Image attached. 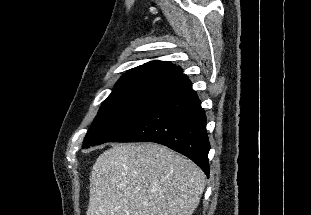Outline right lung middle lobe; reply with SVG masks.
<instances>
[{
    "label": "right lung middle lobe",
    "instance_id": "1",
    "mask_svg": "<svg viewBox=\"0 0 311 215\" xmlns=\"http://www.w3.org/2000/svg\"><path fill=\"white\" fill-rule=\"evenodd\" d=\"M168 87L153 84L115 88L101 105L83 147L110 142L123 135L159 102Z\"/></svg>",
    "mask_w": 311,
    "mask_h": 215
}]
</instances>
